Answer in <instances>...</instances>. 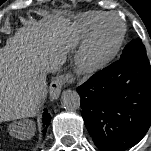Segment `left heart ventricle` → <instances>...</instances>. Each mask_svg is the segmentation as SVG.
<instances>
[{"mask_svg":"<svg viewBox=\"0 0 151 151\" xmlns=\"http://www.w3.org/2000/svg\"><path fill=\"white\" fill-rule=\"evenodd\" d=\"M121 31V25L118 20L108 19L102 26L98 35L95 51L98 54L107 52L115 43Z\"/></svg>","mask_w":151,"mask_h":151,"instance_id":"left-heart-ventricle-1","label":"left heart ventricle"}]
</instances>
